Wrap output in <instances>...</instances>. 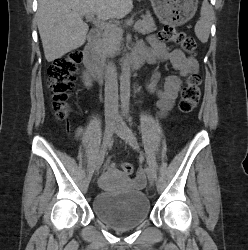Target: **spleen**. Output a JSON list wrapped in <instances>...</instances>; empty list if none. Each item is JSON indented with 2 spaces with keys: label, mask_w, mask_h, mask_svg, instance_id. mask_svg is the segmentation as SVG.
I'll use <instances>...</instances> for the list:
<instances>
[{
  "label": "spleen",
  "mask_w": 248,
  "mask_h": 250,
  "mask_svg": "<svg viewBox=\"0 0 248 250\" xmlns=\"http://www.w3.org/2000/svg\"><path fill=\"white\" fill-rule=\"evenodd\" d=\"M213 14V9L211 5H209L208 0H204L200 12L201 17L194 28L197 38L202 43L208 41Z\"/></svg>",
  "instance_id": "obj_1"
}]
</instances>
